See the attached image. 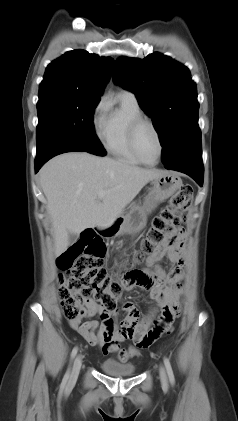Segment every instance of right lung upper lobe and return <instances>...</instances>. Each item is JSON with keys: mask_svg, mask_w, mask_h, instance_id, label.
<instances>
[{"mask_svg": "<svg viewBox=\"0 0 238 421\" xmlns=\"http://www.w3.org/2000/svg\"><path fill=\"white\" fill-rule=\"evenodd\" d=\"M114 60L78 49L66 52L46 68L39 90L57 89L100 96L112 73Z\"/></svg>", "mask_w": 238, "mask_h": 421, "instance_id": "1", "label": "right lung upper lobe"}]
</instances>
